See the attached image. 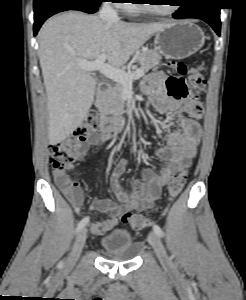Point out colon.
Returning a JSON list of instances; mask_svg holds the SVG:
<instances>
[{
	"label": "colon",
	"mask_w": 246,
	"mask_h": 300,
	"mask_svg": "<svg viewBox=\"0 0 246 300\" xmlns=\"http://www.w3.org/2000/svg\"><path fill=\"white\" fill-rule=\"evenodd\" d=\"M168 67L180 76H185L188 72L187 66L182 62H168ZM187 84V93L197 100L200 91L205 87V79L202 68L197 66L191 70ZM200 103L195 102L190 108V114L194 117L201 115ZM97 127V116L89 114L77 130L66 139L49 145V156L51 167L56 171L66 172L71 168L75 159L84 151L83 146L87 137L95 132ZM189 175L188 167L180 168L173 176L168 185L167 197L169 201H174L182 192ZM123 221L135 230H142L149 227L151 220L141 214L126 213Z\"/></svg>",
	"instance_id": "colon-1"
}]
</instances>
